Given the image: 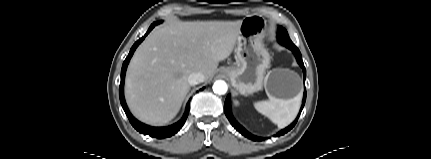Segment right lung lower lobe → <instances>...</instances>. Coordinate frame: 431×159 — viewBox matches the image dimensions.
<instances>
[{
    "label": "right lung lower lobe",
    "instance_id": "98d812e1",
    "mask_svg": "<svg viewBox=\"0 0 431 159\" xmlns=\"http://www.w3.org/2000/svg\"><path fill=\"white\" fill-rule=\"evenodd\" d=\"M158 22L153 23L150 28L148 29L147 33L145 34V36L154 28L155 25H157ZM145 36H143L142 38H140L137 42H135V44L132 46L127 58L125 59V61L123 62L122 65V69H121V82H120V87H119V96H120V102L121 105L131 123V125L140 133H143L145 135H149L151 137H155L158 139H162V138H166V137H170L172 135H174L175 133H177L182 126L184 125L188 114H189V106H190V100L188 101L187 105H186V110L185 113L183 115V117L181 118V120H179L177 123L167 126V127H151L148 125H145L141 122H139L137 119H135L132 114L129 112L125 99H124V79H125V73H126V69H127V65L129 63L130 58L132 57L135 49L137 48V46L143 41V39L145 38ZM202 90V89H201Z\"/></svg>",
    "mask_w": 431,
    "mask_h": 159
}]
</instances>
